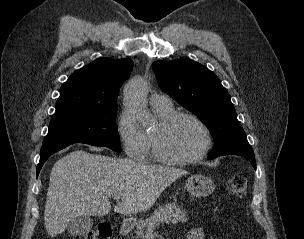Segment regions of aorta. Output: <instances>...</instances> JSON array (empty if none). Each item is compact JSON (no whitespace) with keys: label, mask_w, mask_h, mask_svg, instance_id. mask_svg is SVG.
<instances>
[{"label":"aorta","mask_w":304,"mask_h":239,"mask_svg":"<svg viewBox=\"0 0 304 239\" xmlns=\"http://www.w3.org/2000/svg\"><path fill=\"white\" fill-rule=\"evenodd\" d=\"M124 103L136 110L139 120H147L146 84L144 80L137 78L126 85L124 89Z\"/></svg>","instance_id":"1"}]
</instances>
